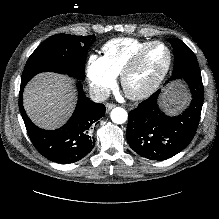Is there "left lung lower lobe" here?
Masks as SVG:
<instances>
[{"mask_svg":"<svg viewBox=\"0 0 219 219\" xmlns=\"http://www.w3.org/2000/svg\"><path fill=\"white\" fill-rule=\"evenodd\" d=\"M183 78L189 85L192 101L182 114L171 117L158 107L160 90L129 113L127 141L139 155L151 160H165L182 151L198 127L203 105V83L200 72L188 71L170 77Z\"/></svg>","mask_w":219,"mask_h":219,"instance_id":"left-lung-lower-lobe-1","label":"left lung lower lobe"}]
</instances>
